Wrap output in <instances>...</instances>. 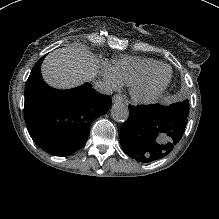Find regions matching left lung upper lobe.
<instances>
[{
    "instance_id": "1",
    "label": "left lung upper lobe",
    "mask_w": 219,
    "mask_h": 219,
    "mask_svg": "<svg viewBox=\"0 0 219 219\" xmlns=\"http://www.w3.org/2000/svg\"><path fill=\"white\" fill-rule=\"evenodd\" d=\"M170 108L176 109L181 113L188 115L189 112V102L187 100L183 102H178L170 105Z\"/></svg>"
}]
</instances>
